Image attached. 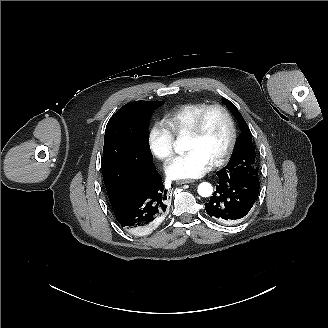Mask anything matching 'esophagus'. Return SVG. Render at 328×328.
Wrapping results in <instances>:
<instances>
[{
    "mask_svg": "<svg viewBox=\"0 0 328 328\" xmlns=\"http://www.w3.org/2000/svg\"><path fill=\"white\" fill-rule=\"evenodd\" d=\"M195 180L193 179H179L176 181L177 185H181V184H186V183H194Z\"/></svg>",
    "mask_w": 328,
    "mask_h": 328,
    "instance_id": "1",
    "label": "esophagus"
}]
</instances>
